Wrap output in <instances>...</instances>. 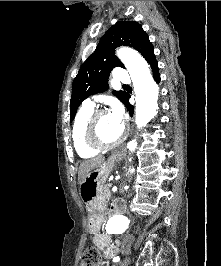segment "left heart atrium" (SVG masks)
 Here are the masks:
<instances>
[{
  "label": "left heart atrium",
  "mask_w": 221,
  "mask_h": 266,
  "mask_svg": "<svg viewBox=\"0 0 221 266\" xmlns=\"http://www.w3.org/2000/svg\"><path fill=\"white\" fill-rule=\"evenodd\" d=\"M110 117L120 126L124 124V111L122 106L115 102L111 105L110 111L108 113Z\"/></svg>",
  "instance_id": "left-heart-atrium-1"
}]
</instances>
